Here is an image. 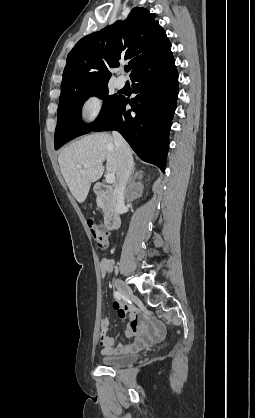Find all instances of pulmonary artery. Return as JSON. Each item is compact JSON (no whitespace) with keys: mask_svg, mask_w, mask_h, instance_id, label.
<instances>
[{"mask_svg":"<svg viewBox=\"0 0 255 418\" xmlns=\"http://www.w3.org/2000/svg\"><path fill=\"white\" fill-rule=\"evenodd\" d=\"M115 83L118 88H123L125 86L126 79L123 76H120L116 79Z\"/></svg>","mask_w":255,"mask_h":418,"instance_id":"pulmonary-artery-1","label":"pulmonary artery"}]
</instances>
